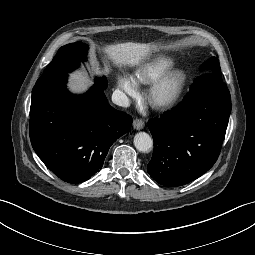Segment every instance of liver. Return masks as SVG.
Segmentation results:
<instances>
[{
  "label": "liver",
  "instance_id": "1",
  "mask_svg": "<svg viewBox=\"0 0 255 255\" xmlns=\"http://www.w3.org/2000/svg\"><path fill=\"white\" fill-rule=\"evenodd\" d=\"M100 50L105 54L106 59L110 60L114 65L121 67L140 64L156 48L150 44L126 42L105 45ZM89 83L90 80L86 73L76 71L70 75L68 86L72 92L82 93L85 92Z\"/></svg>",
  "mask_w": 255,
  "mask_h": 255
}]
</instances>
